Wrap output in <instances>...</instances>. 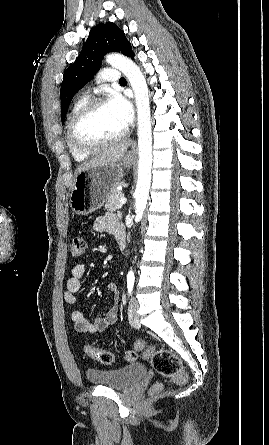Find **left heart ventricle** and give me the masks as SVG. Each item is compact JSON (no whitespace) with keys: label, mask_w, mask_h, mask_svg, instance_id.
<instances>
[{"label":"left heart ventricle","mask_w":269,"mask_h":445,"mask_svg":"<svg viewBox=\"0 0 269 445\" xmlns=\"http://www.w3.org/2000/svg\"><path fill=\"white\" fill-rule=\"evenodd\" d=\"M126 126L108 103L89 114L78 126L77 134L86 142H96L111 138Z\"/></svg>","instance_id":"left-heart-ventricle-1"}]
</instances>
